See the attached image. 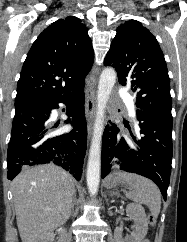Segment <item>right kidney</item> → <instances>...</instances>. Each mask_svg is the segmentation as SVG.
I'll return each mask as SVG.
<instances>
[{
    "label": "right kidney",
    "mask_w": 187,
    "mask_h": 242,
    "mask_svg": "<svg viewBox=\"0 0 187 242\" xmlns=\"http://www.w3.org/2000/svg\"><path fill=\"white\" fill-rule=\"evenodd\" d=\"M54 241V233H48L41 242H53Z\"/></svg>",
    "instance_id": "1"
}]
</instances>
